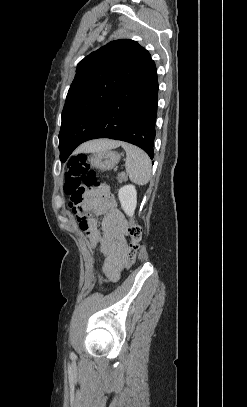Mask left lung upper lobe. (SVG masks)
Segmentation results:
<instances>
[{"label": "left lung upper lobe", "instance_id": "left-lung-upper-lobe-1", "mask_svg": "<svg viewBox=\"0 0 247 407\" xmlns=\"http://www.w3.org/2000/svg\"><path fill=\"white\" fill-rule=\"evenodd\" d=\"M136 41H112L86 56L76 70L62 111L60 160L65 162L99 121L111 101L150 63Z\"/></svg>", "mask_w": 247, "mask_h": 407}]
</instances>
